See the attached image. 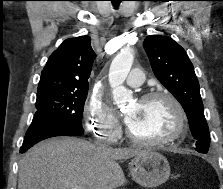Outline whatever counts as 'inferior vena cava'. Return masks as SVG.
<instances>
[{
	"label": "inferior vena cava",
	"mask_w": 223,
	"mask_h": 189,
	"mask_svg": "<svg viewBox=\"0 0 223 189\" xmlns=\"http://www.w3.org/2000/svg\"><path fill=\"white\" fill-rule=\"evenodd\" d=\"M98 145H99V146H98V148H99V149H101V148H103V149H104V148H106V147H107L105 144H101V143H99Z\"/></svg>",
	"instance_id": "obj_1"
}]
</instances>
